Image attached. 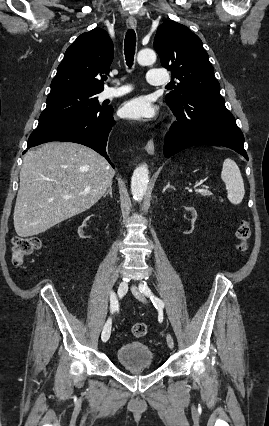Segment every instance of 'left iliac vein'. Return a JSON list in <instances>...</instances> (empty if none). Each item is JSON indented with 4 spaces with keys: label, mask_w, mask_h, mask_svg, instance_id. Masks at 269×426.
<instances>
[{
    "label": "left iliac vein",
    "mask_w": 269,
    "mask_h": 426,
    "mask_svg": "<svg viewBox=\"0 0 269 426\" xmlns=\"http://www.w3.org/2000/svg\"><path fill=\"white\" fill-rule=\"evenodd\" d=\"M131 291L139 301L145 302V298H144L143 294L141 293V291L137 288V286L133 285L131 287ZM166 340H167V344H168L169 348L173 349L174 348V340H173V338L170 334H167Z\"/></svg>",
    "instance_id": "1"
}]
</instances>
